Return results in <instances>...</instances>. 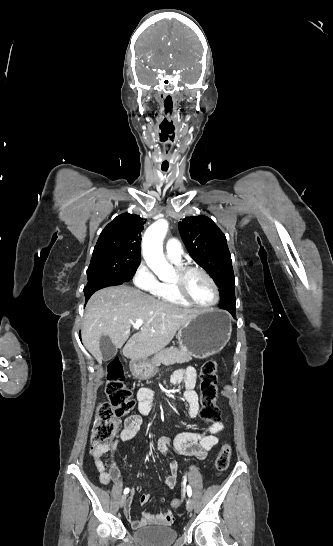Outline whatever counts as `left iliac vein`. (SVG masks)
<instances>
[{
  "instance_id": "obj_1",
  "label": "left iliac vein",
  "mask_w": 333,
  "mask_h": 546,
  "mask_svg": "<svg viewBox=\"0 0 333 546\" xmlns=\"http://www.w3.org/2000/svg\"><path fill=\"white\" fill-rule=\"evenodd\" d=\"M186 509H187L188 511H191V510L193 509V501H192L191 499H188V500L186 501Z\"/></svg>"
}]
</instances>
